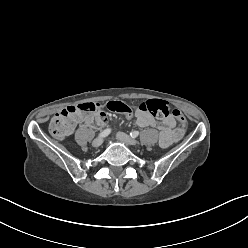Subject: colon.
<instances>
[{
  "label": "colon",
  "instance_id": "obj_1",
  "mask_svg": "<svg viewBox=\"0 0 248 248\" xmlns=\"http://www.w3.org/2000/svg\"><path fill=\"white\" fill-rule=\"evenodd\" d=\"M107 108L110 111L121 113L128 122L134 121V111L123 102L111 101L107 104ZM136 108L156 118L172 115L178 120L182 128L186 127V118L182 112L164 101L146 100ZM82 118L97 126L105 125L109 121L108 114L100 104L92 102L81 103L68 106L56 113L49 125L50 134L58 139L63 138L72 131L75 124Z\"/></svg>",
  "mask_w": 248,
  "mask_h": 248
}]
</instances>
